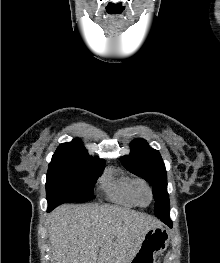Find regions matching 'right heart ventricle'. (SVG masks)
I'll list each match as a JSON object with an SVG mask.
<instances>
[{"instance_id": "obj_1", "label": "right heart ventricle", "mask_w": 220, "mask_h": 263, "mask_svg": "<svg viewBox=\"0 0 220 263\" xmlns=\"http://www.w3.org/2000/svg\"><path fill=\"white\" fill-rule=\"evenodd\" d=\"M106 179L108 182L104 186V190L111 201L125 207L137 206L134 199L136 179L120 171L114 175L106 176Z\"/></svg>"}]
</instances>
